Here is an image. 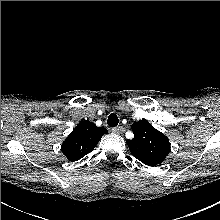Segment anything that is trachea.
<instances>
[{"label": "trachea", "mask_w": 220, "mask_h": 220, "mask_svg": "<svg viewBox=\"0 0 220 220\" xmlns=\"http://www.w3.org/2000/svg\"><path fill=\"white\" fill-rule=\"evenodd\" d=\"M119 119L116 114L112 113L108 116L107 124L110 127H116L118 125Z\"/></svg>", "instance_id": "3493384b"}]
</instances>
